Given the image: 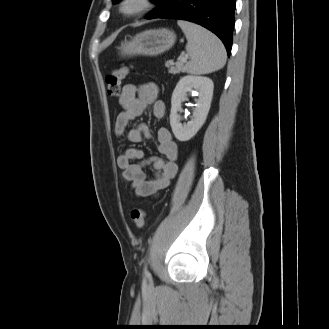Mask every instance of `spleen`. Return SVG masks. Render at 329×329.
Wrapping results in <instances>:
<instances>
[{
	"label": "spleen",
	"mask_w": 329,
	"mask_h": 329,
	"mask_svg": "<svg viewBox=\"0 0 329 329\" xmlns=\"http://www.w3.org/2000/svg\"><path fill=\"white\" fill-rule=\"evenodd\" d=\"M179 27L184 32L186 51L190 61L185 69L190 74L200 75L217 71L226 63V50L223 43L207 29L188 21L179 20Z\"/></svg>",
	"instance_id": "1"
}]
</instances>
